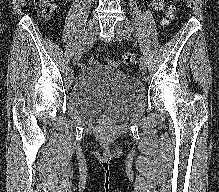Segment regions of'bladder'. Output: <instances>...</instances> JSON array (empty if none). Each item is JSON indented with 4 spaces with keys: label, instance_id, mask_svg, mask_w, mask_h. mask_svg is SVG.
<instances>
[{
    "label": "bladder",
    "instance_id": "31cf9c89",
    "mask_svg": "<svg viewBox=\"0 0 219 192\" xmlns=\"http://www.w3.org/2000/svg\"><path fill=\"white\" fill-rule=\"evenodd\" d=\"M67 101L94 123L121 122L145 101L142 83L106 64L83 70L67 90Z\"/></svg>",
    "mask_w": 219,
    "mask_h": 192
}]
</instances>
